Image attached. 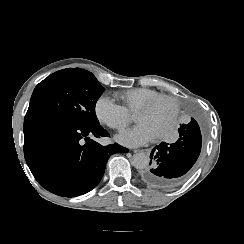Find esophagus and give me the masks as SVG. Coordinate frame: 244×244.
<instances>
[{
  "label": "esophagus",
  "mask_w": 244,
  "mask_h": 244,
  "mask_svg": "<svg viewBox=\"0 0 244 244\" xmlns=\"http://www.w3.org/2000/svg\"><path fill=\"white\" fill-rule=\"evenodd\" d=\"M150 151H151L150 148L134 150L135 153H139V152H141V153H144V154H146V155H149Z\"/></svg>",
  "instance_id": "esophagus-1"
}]
</instances>
